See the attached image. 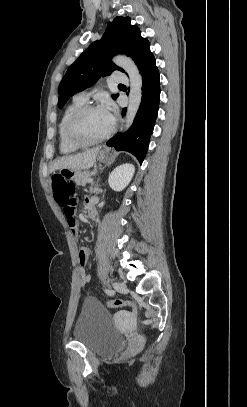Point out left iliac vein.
<instances>
[{"label": "left iliac vein", "mask_w": 247, "mask_h": 407, "mask_svg": "<svg viewBox=\"0 0 247 407\" xmlns=\"http://www.w3.org/2000/svg\"><path fill=\"white\" fill-rule=\"evenodd\" d=\"M113 288L120 293H123L127 290V287H126L125 283H123V282L113 283Z\"/></svg>", "instance_id": "4c4485c4"}]
</instances>
